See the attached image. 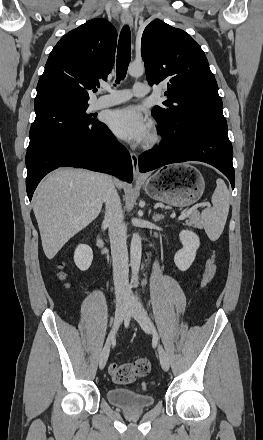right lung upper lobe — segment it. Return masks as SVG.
I'll return each instance as SVG.
<instances>
[{
    "mask_svg": "<svg viewBox=\"0 0 263 440\" xmlns=\"http://www.w3.org/2000/svg\"><path fill=\"white\" fill-rule=\"evenodd\" d=\"M116 29L93 19L66 34L51 51L37 85L34 108L55 103H88V91L107 80L114 61Z\"/></svg>",
    "mask_w": 263,
    "mask_h": 440,
    "instance_id": "cb5924a9",
    "label": "right lung upper lobe"
}]
</instances>
